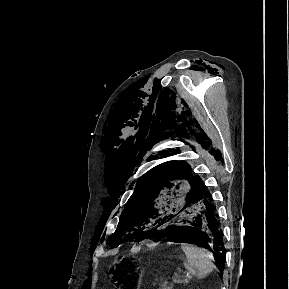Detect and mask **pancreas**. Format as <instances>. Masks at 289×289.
Here are the masks:
<instances>
[{
    "label": "pancreas",
    "mask_w": 289,
    "mask_h": 289,
    "mask_svg": "<svg viewBox=\"0 0 289 289\" xmlns=\"http://www.w3.org/2000/svg\"><path fill=\"white\" fill-rule=\"evenodd\" d=\"M161 289H173V285H163Z\"/></svg>",
    "instance_id": "cf45deb5"
}]
</instances>
